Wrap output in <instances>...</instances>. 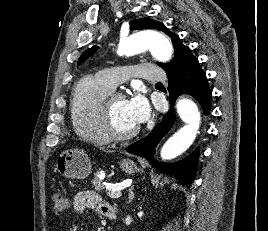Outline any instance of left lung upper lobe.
Returning <instances> with one entry per match:
<instances>
[{
    "label": "left lung upper lobe",
    "mask_w": 268,
    "mask_h": 231,
    "mask_svg": "<svg viewBox=\"0 0 268 231\" xmlns=\"http://www.w3.org/2000/svg\"><path fill=\"white\" fill-rule=\"evenodd\" d=\"M130 28L132 30L156 29L164 32L171 38L174 46V58L169 63H159V65L166 71V73H170L182 68L190 58L194 57L191 53L190 48L182 44L179 36L171 32L163 23L159 21L150 18L134 19L130 22ZM96 50L97 47L93 46L85 51L80 56L78 65L84 62L89 56H92Z\"/></svg>",
    "instance_id": "1"
}]
</instances>
